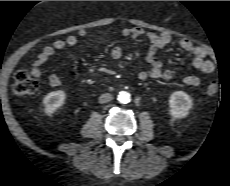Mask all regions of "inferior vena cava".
<instances>
[{
    "instance_id": "1",
    "label": "inferior vena cava",
    "mask_w": 230,
    "mask_h": 186,
    "mask_svg": "<svg viewBox=\"0 0 230 186\" xmlns=\"http://www.w3.org/2000/svg\"><path fill=\"white\" fill-rule=\"evenodd\" d=\"M113 99L112 95L109 93H104L99 97V103L104 104L110 102Z\"/></svg>"
}]
</instances>
